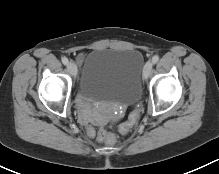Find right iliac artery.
I'll list each match as a JSON object with an SVG mask.
<instances>
[{
  "label": "right iliac artery",
  "mask_w": 219,
  "mask_h": 174,
  "mask_svg": "<svg viewBox=\"0 0 219 174\" xmlns=\"http://www.w3.org/2000/svg\"><path fill=\"white\" fill-rule=\"evenodd\" d=\"M68 59L66 58V57H63L62 58V63L64 64V65H67L68 64Z\"/></svg>",
  "instance_id": "right-iliac-artery-1"
}]
</instances>
